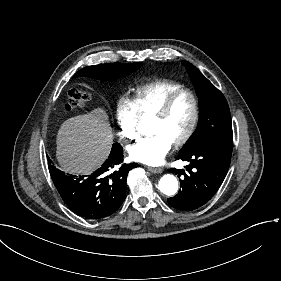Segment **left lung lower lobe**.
<instances>
[{"mask_svg":"<svg viewBox=\"0 0 281 281\" xmlns=\"http://www.w3.org/2000/svg\"><path fill=\"white\" fill-rule=\"evenodd\" d=\"M178 159L189 162L188 173L175 168L169 170L179 178L183 174L184 179H180L181 190L168 198V203L178 210L192 211L207 203L217 192L228 171L231 154L210 146H199L180 152Z\"/></svg>","mask_w":281,"mask_h":281,"instance_id":"1","label":"left lung lower lobe"}]
</instances>
